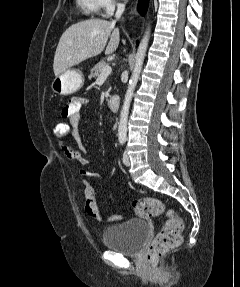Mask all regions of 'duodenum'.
Wrapping results in <instances>:
<instances>
[{"mask_svg": "<svg viewBox=\"0 0 240 287\" xmlns=\"http://www.w3.org/2000/svg\"><path fill=\"white\" fill-rule=\"evenodd\" d=\"M120 105V97L118 95H111L108 99V106L112 111L118 110Z\"/></svg>", "mask_w": 240, "mask_h": 287, "instance_id": "obj_1", "label": "duodenum"}]
</instances>
